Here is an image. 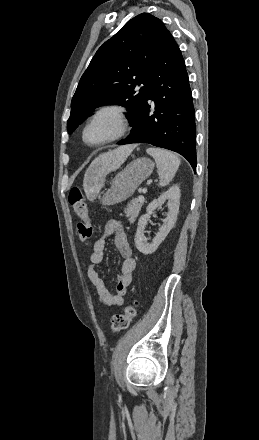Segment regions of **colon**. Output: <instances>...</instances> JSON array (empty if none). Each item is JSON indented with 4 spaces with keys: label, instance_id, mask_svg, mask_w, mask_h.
Wrapping results in <instances>:
<instances>
[{
    "label": "colon",
    "instance_id": "5ec220e1",
    "mask_svg": "<svg viewBox=\"0 0 259 440\" xmlns=\"http://www.w3.org/2000/svg\"><path fill=\"white\" fill-rule=\"evenodd\" d=\"M68 200L79 218L77 223L79 239L82 243L88 244L93 239L94 229L81 190L78 187H73L69 192ZM136 306L137 302L133 301L125 307L122 314L112 317L111 329L113 332H121L129 327L136 317Z\"/></svg>",
    "mask_w": 259,
    "mask_h": 440
}]
</instances>
